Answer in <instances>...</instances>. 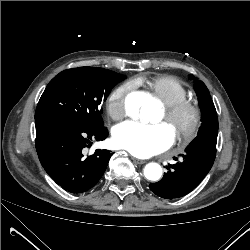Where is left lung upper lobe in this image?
<instances>
[{
    "mask_svg": "<svg viewBox=\"0 0 250 250\" xmlns=\"http://www.w3.org/2000/svg\"><path fill=\"white\" fill-rule=\"evenodd\" d=\"M191 78L193 79L194 77L191 76ZM194 89L202 113V125L198 136L218 131L217 113L207 87L203 82L195 80Z\"/></svg>",
    "mask_w": 250,
    "mask_h": 250,
    "instance_id": "obj_1",
    "label": "left lung upper lobe"
}]
</instances>
